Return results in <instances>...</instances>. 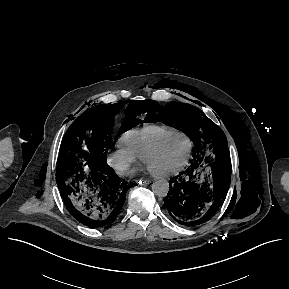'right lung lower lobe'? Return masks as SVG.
<instances>
[{"label":"right lung lower lobe","instance_id":"1","mask_svg":"<svg viewBox=\"0 0 289 289\" xmlns=\"http://www.w3.org/2000/svg\"><path fill=\"white\" fill-rule=\"evenodd\" d=\"M132 186L118 177L105 160L82 168L59 190L75 219L90 228H108L119 218L126 192Z\"/></svg>","mask_w":289,"mask_h":289}]
</instances>
